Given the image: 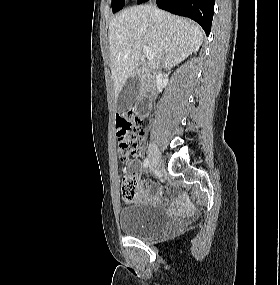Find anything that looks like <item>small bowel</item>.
Instances as JSON below:
<instances>
[{
  "label": "small bowel",
  "instance_id": "small-bowel-1",
  "mask_svg": "<svg viewBox=\"0 0 280 285\" xmlns=\"http://www.w3.org/2000/svg\"><path fill=\"white\" fill-rule=\"evenodd\" d=\"M139 165H140V162L137 159H133L129 162V166H133L134 169H138ZM132 178L136 182L135 198L138 201L151 203V202H157V201L161 200V194L160 195H153L152 193H150L147 185L138 176H134Z\"/></svg>",
  "mask_w": 280,
  "mask_h": 285
}]
</instances>
